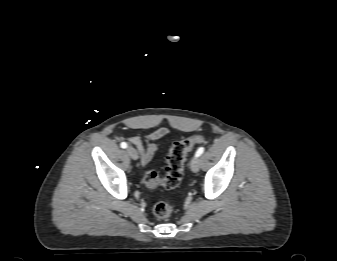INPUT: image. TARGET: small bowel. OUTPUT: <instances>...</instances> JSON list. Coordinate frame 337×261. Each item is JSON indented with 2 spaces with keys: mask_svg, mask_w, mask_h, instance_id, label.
<instances>
[{
  "mask_svg": "<svg viewBox=\"0 0 337 261\" xmlns=\"http://www.w3.org/2000/svg\"><path fill=\"white\" fill-rule=\"evenodd\" d=\"M168 135L166 128H159L150 133L144 139L140 136H132L130 141L137 147L142 164H148L159 149L157 141Z\"/></svg>",
  "mask_w": 337,
  "mask_h": 261,
  "instance_id": "obj_1",
  "label": "small bowel"
}]
</instances>
